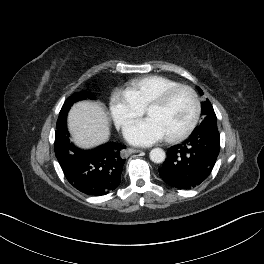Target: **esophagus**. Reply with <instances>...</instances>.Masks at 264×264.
Wrapping results in <instances>:
<instances>
[{
	"label": "esophagus",
	"instance_id": "1",
	"mask_svg": "<svg viewBox=\"0 0 264 264\" xmlns=\"http://www.w3.org/2000/svg\"><path fill=\"white\" fill-rule=\"evenodd\" d=\"M127 151H128L129 154H133V153H139V152H141L140 149H133V148H129Z\"/></svg>",
	"mask_w": 264,
	"mask_h": 264
}]
</instances>
